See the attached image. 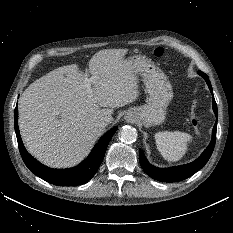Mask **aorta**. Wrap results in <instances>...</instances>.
<instances>
[{"label": "aorta", "instance_id": "1", "mask_svg": "<svg viewBox=\"0 0 233 233\" xmlns=\"http://www.w3.org/2000/svg\"><path fill=\"white\" fill-rule=\"evenodd\" d=\"M119 136L122 142L133 143L137 139V131L135 128L126 125L122 127Z\"/></svg>", "mask_w": 233, "mask_h": 233}]
</instances>
